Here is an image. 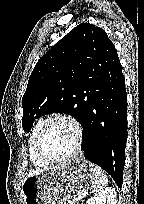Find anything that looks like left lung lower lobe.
Returning <instances> with one entry per match:
<instances>
[{
    "mask_svg": "<svg viewBox=\"0 0 144 204\" xmlns=\"http://www.w3.org/2000/svg\"><path fill=\"white\" fill-rule=\"evenodd\" d=\"M89 72V71H88ZM83 126L84 156L122 186L127 142V94L119 59L100 62L91 73Z\"/></svg>",
    "mask_w": 144,
    "mask_h": 204,
    "instance_id": "left-lung-lower-lobe-1",
    "label": "left lung lower lobe"
}]
</instances>
